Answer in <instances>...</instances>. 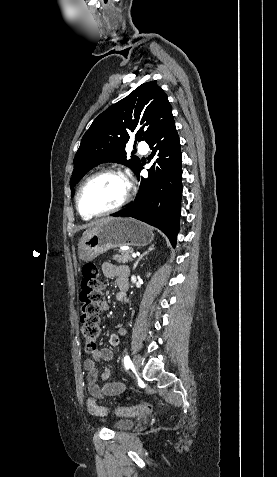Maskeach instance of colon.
I'll return each mask as SVG.
<instances>
[{"mask_svg":"<svg viewBox=\"0 0 277 477\" xmlns=\"http://www.w3.org/2000/svg\"><path fill=\"white\" fill-rule=\"evenodd\" d=\"M83 278L79 293V323L81 337L86 350L92 352L96 349V341L100 334V313L102 312L103 282L99 276L98 268L88 263L82 270ZM89 412L94 416H105L107 409L98 405L93 398L87 400ZM149 403H143L133 407H119L114 413L118 416H135L151 411Z\"/></svg>","mask_w":277,"mask_h":477,"instance_id":"colon-1","label":"colon"}]
</instances>
